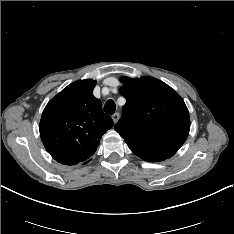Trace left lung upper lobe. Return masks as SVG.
<instances>
[{
  "label": "left lung upper lobe",
  "mask_w": 234,
  "mask_h": 234,
  "mask_svg": "<svg viewBox=\"0 0 234 234\" xmlns=\"http://www.w3.org/2000/svg\"><path fill=\"white\" fill-rule=\"evenodd\" d=\"M120 80V94L126 98V104L115 130L129 147L176 152L190 129L189 112L181 96L152 77Z\"/></svg>",
  "instance_id": "obj_1"
}]
</instances>
